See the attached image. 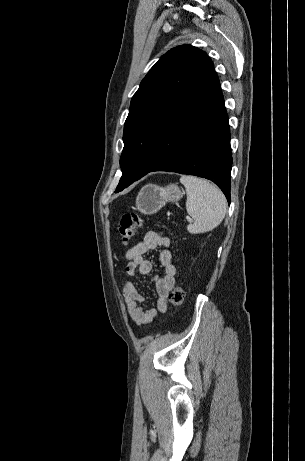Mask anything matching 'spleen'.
Returning a JSON list of instances; mask_svg holds the SVG:
<instances>
[{
    "label": "spleen",
    "mask_w": 305,
    "mask_h": 461,
    "mask_svg": "<svg viewBox=\"0 0 305 461\" xmlns=\"http://www.w3.org/2000/svg\"><path fill=\"white\" fill-rule=\"evenodd\" d=\"M180 182L187 194L186 210L193 218L187 226L192 234L212 231L224 219L227 202L221 190L209 181L195 176H182Z\"/></svg>",
    "instance_id": "spleen-1"
}]
</instances>
